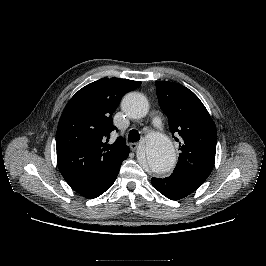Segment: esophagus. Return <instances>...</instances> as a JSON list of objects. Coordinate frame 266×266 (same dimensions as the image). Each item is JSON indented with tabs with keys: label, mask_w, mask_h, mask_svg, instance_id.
<instances>
[{
	"label": "esophagus",
	"mask_w": 266,
	"mask_h": 266,
	"mask_svg": "<svg viewBox=\"0 0 266 266\" xmlns=\"http://www.w3.org/2000/svg\"><path fill=\"white\" fill-rule=\"evenodd\" d=\"M129 147L132 151H135L138 147V143H130L129 144Z\"/></svg>",
	"instance_id": "1"
}]
</instances>
